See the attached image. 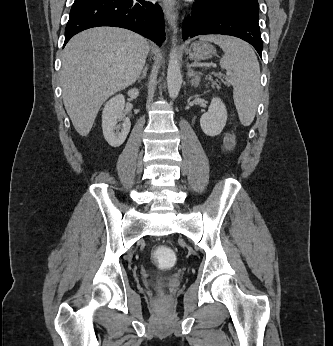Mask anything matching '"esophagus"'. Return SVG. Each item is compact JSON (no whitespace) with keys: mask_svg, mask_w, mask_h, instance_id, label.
I'll return each mask as SVG.
<instances>
[{"mask_svg":"<svg viewBox=\"0 0 333 346\" xmlns=\"http://www.w3.org/2000/svg\"><path fill=\"white\" fill-rule=\"evenodd\" d=\"M162 7L168 24L172 26L174 9L173 0H162Z\"/></svg>","mask_w":333,"mask_h":346,"instance_id":"1","label":"esophagus"}]
</instances>
